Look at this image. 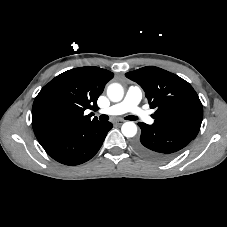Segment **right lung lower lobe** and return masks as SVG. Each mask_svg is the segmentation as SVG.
Wrapping results in <instances>:
<instances>
[{"mask_svg":"<svg viewBox=\"0 0 227 227\" xmlns=\"http://www.w3.org/2000/svg\"><path fill=\"white\" fill-rule=\"evenodd\" d=\"M111 128L110 122L80 126L42 147L56 161L69 166L78 165L90 160L98 152Z\"/></svg>","mask_w":227,"mask_h":227,"instance_id":"obj_1","label":"right lung lower lobe"}]
</instances>
